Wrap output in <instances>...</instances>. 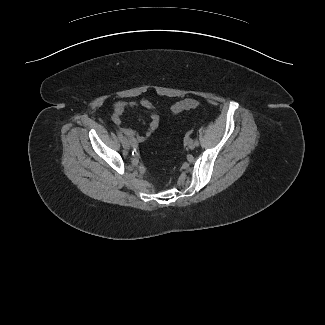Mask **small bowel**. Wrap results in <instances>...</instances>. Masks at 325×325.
Here are the masks:
<instances>
[{
  "mask_svg": "<svg viewBox=\"0 0 325 325\" xmlns=\"http://www.w3.org/2000/svg\"><path fill=\"white\" fill-rule=\"evenodd\" d=\"M135 108H142L146 110L150 115V119L149 122L146 124V130L144 135H140L136 131L130 128L121 127L122 133L130 139L133 145H135L139 141L143 140L146 136H149L154 131H156L160 123V117L156 108L149 100L146 99L141 101L120 100L115 102L113 104V115H112L113 120L117 124H121L122 119L120 115L125 111H128L130 109H135Z\"/></svg>",
  "mask_w": 325,
  "mask_h": 325,
  "instance_id": "obj_1",
  "label": "small bowel"
}]
</instances>
